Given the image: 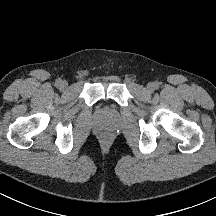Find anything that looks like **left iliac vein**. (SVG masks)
<instances>
[{
	"mask_svg": "<svg viewBox=\"0 0 216 216\" xmlns=\"http://www.w3.org/2000/svg\"><path fill=\"white\" fill-rule=\"evenodd\" d=\"M153 90H154V85H153L152 83H149V84L147 85V91H148V92H153Z\"/></svg>",
	"mask_w": 216,
	"mask_h": 216,
	"instance_id": "left-iliac-vein-1",
	"label": "left iliac vein"
}]
</instances>
